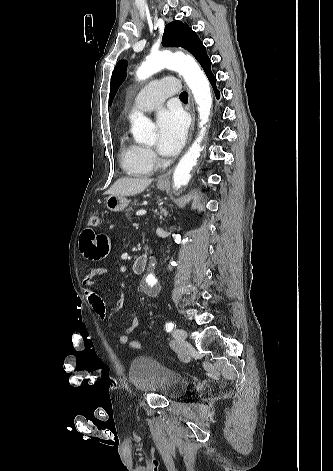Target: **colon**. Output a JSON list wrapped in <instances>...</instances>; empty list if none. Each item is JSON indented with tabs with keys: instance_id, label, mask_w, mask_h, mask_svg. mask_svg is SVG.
Instances as JSON below:
<instances>
[{
	"instance_id": "colon-1",
	"label": "colon",
	"mask_w": 333,
	"mask_h": 471,
	"mask_svg": "<svg viewBox=\"0 0 333 471\" xmlns=\"http://www.w3.org/2000/svg\"><path fill=\"white\" fill-rule=\"evenodd\" d=\"M100 218L98 215L93 214L89 218V226L90 227H97L99 225ZM129 347L134 350L141 349V343L137 340H131L128 343Z\"/></svg>"
}]
</instances>
